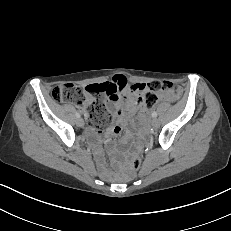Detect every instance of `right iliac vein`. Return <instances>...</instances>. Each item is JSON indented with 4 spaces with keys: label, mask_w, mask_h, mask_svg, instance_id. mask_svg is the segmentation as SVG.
<instances>
[{
    "label": "right iliac vein",
    "mask_w": 231,
    "mask_h": 231,
    "mask_svg": "<svg viewBox=\"0 0 231 231\" xmlns=\"http://www.w3.org/2000/svg\"><path fill=\"white\" fill-rule=\"evenodd\" d=\"M76 124H77V126H79V127H83L84 126V120L82 119V118H78L77 120H76Z\"/></svg>",
    "instance_id": "1"
}]
</instances>
